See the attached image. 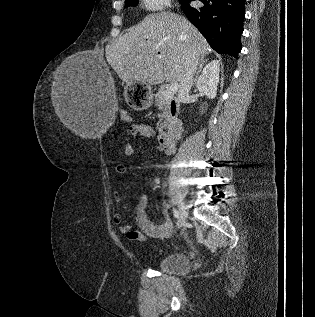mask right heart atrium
<instances>
[{
	"mask_svg": "<svg viewBox=\"0 0 315 317\" xmlns=\"http://www.w3.org/2000/svg\"><path fill=\"white\" fill-rule=\"evenodd\" d=\"M172 0H142L143 7L148 11H161L170 7Z\"/></svg>",
	"mask_w": 315,
	"mask_h": 317,
	"instance_id": "right-heart-atrium-1",
	"label": "right heart atrium"
}]
</instances>
